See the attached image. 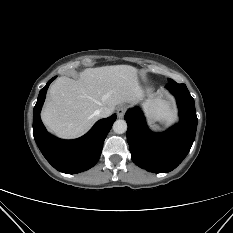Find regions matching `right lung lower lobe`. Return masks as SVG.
Here are the masks:
<instances>
[{"label": "right lung lower lobe", "mask_w": 233, "mask_h": 233, "mask_svg": "<svg viewBox=\"0 0 233 233\" xmlns=\"http://www.w3.org/2000/svg\"><path fill=\"white\" fill-rule=\"evenodd\" d=\"M41 89L33 110L34 139L47 161L58 171L76 174L93 167L100 158L104 140L117 116L99 120L83 137L75 140H61L47 133L41 119L40 111L49 84Z\"/></svg>", "instance_id": "1"}]
</instances>
